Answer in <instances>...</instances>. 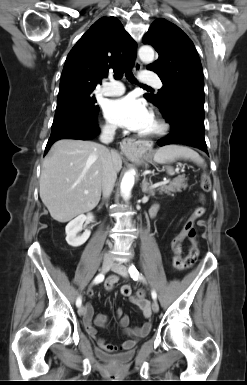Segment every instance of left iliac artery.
Instances as JSON below:
<instances>
[{"label": "left iliac artery", "mask_w": 247, "mask_h": 385, "mask_svg": "<svg viewBox=\"0 0 247 385\" xmlns=\"http://www.w3.org/2000/svg\"><path fill=\"white\" fill-rule=\"evenodd\" d=\"M129 273H130V276L133 278V280H142L143 282H145L144 277L139 273V271L136 269V267L133 264L130 265L129 267ZM151 295H152V298L156 300L157 293L154 289H152Z\"/></svg>", "instance_id": "44dca946"}]
</instances>
